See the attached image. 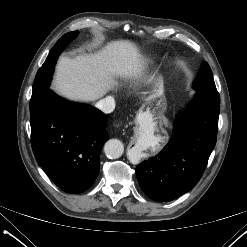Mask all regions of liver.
Masks as SVG:
<instances>
[{"label": "liver", "instance_id": "1", "mask_svg": "<svg viewBox=\"0 0 247 247\" xmlns=\"http://www.w3.org/2000/svg\"><path fill=\"white\" fill-rule=\"evenodd\" d=\"M145 70V59L135 43L111 41L101 50L75 58L62 57L52 84L60 96L77 102H94L119 87L118 78L138 79ZM161 92V83L147 99Z\"/></svg>", "mask_w": 247, "mask_h": 247}]
</instances>
